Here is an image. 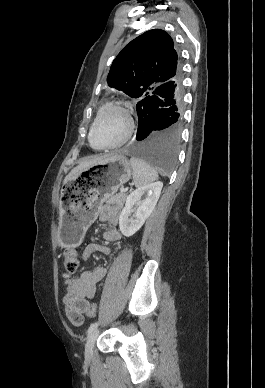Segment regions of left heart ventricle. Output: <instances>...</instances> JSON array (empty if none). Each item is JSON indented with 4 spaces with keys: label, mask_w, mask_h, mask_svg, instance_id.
Returning a JSON list of instances; mask_svg holds the SVG:
<instances>
[{
    "label": "left heart ventricle",
    "mask_w": 265,
    "mask_h": 388,
    "mask_svg": "<svg viewBox=\"0 0 265 388\" xmlns=\"http://www.w3.org/2000/svg\"><path fill=\"white\" fill-rule=\"evenodd\" d=\"M126 130V119L117 111L107 112L95 128L94 140L98 145H112L119 141Z\"/></svg>",
    "instance_id": "obj_1"
}]
</instances>
